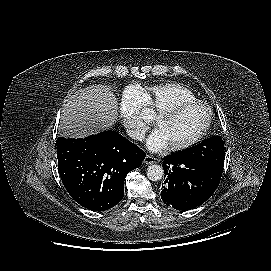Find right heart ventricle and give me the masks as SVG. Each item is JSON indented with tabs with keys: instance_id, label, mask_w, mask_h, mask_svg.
I'll list each match as a JSON object with an SVG mask.
<instances>
[{
	"instance_id": "e07e8e85",
	"label": "right heart ventricle",
	"mask_w": 271,
	"mask_h": 271,
	"mask_svg": "<svg viewBox=\"0 0 271 271\" xmlns=\"http://www.w3.org/2000/svg\"><path fill=\"white\" fill-rule=\"evenodd\" d=\"M145 105L156 113L173 104L196 100L195 95L187 88L173 83L154 85L143 91Z\"/></svg>"
}]
</instances>
